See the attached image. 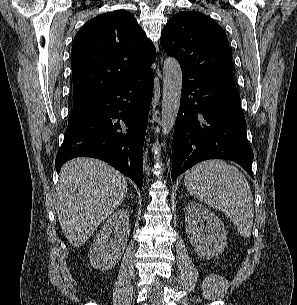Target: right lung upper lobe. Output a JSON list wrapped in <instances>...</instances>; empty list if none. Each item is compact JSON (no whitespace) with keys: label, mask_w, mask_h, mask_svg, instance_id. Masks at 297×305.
<instances>
[{"label":"right lung upper lobe","mask_w":297,"mask_h":305,"mask_svg":"<svg viewBox=\"0 0 297 305\" xmlns=\"http://www.w3.org/2000/svg\"><path fill=\"white\" fill-rule=\"evenodd\" d=\"M73 104L151 71L156 50L134 16L119 10L89 20L71 50Z\"/></svg>","instance_id":"right-lung-upper-lobe-1"}]
</instances>
